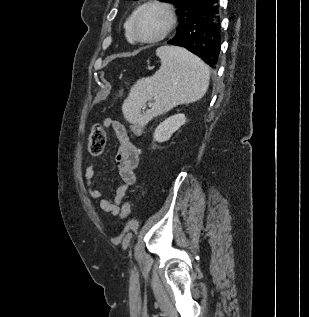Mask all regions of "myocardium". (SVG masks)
Segmentation results:
<instances>
[{"label":"myocardium","instance_id":"myocardium-1","mask_svg":"<svg viewBox=\"0 0 309 317\" xmlns=\"http://www.w3.org/2000/svg\"><path fill=\"white\" fill-rule=\"evenodd\" d=\"M150 8H156L159 9L160 11H162L165 16H166V25L164 27V29L162 30V32L160 34H158L155 37L152 38H144L140 35L138 28H137V24H138V20L139 17L141 16V14ZM176 25V15L175 12L173 10V8L171 7V5H169L168 3H165L163 1H159V0H151L148 2H145L144 4H142L134 13L133 18H132V33L134 38L142 43H156L159 42L163 39H165L170 33L171 31L174 29Z\"/></svg>","mask_w":309,"mask_h":317}]
</instances>
